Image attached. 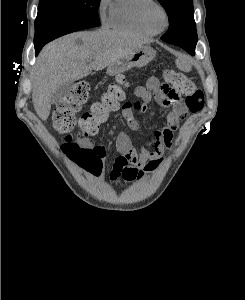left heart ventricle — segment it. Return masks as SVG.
I'll list each match as a JSON object with an SVG mask.
<instances>
[{"mask_svg":"<svg viewBox=\"0 0 245 300\" xmlns=\"http://www.w3.org/2000/svg\"><path fill=\"white\" fill-rule=\"evenodd\" d=\"M148 18L152 26L160 27L163 25V17L159 10L152 8L148 13Z\"/></svg>","mask_w":245,"mask_h":300,"instance_id":"b2bd125f","label":"left heart ventricle"}]
</instances>
